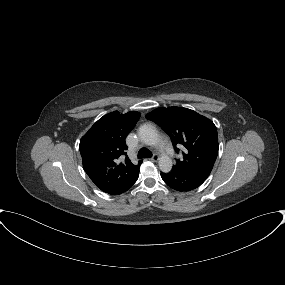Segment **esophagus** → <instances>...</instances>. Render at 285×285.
<instances>
[{"label":"esophagus","instance_id":"1","mask_svg":"<svg viewBox=\"0 0 285 285\" xmlns=\"http://www.w3.org/2000/svg\"><path fill=\"white\" fill-rule=\"evenodd\" d=\"M158 156L157 155H154V156H152L151 158H150V160L151 161H153V162H156V161H158Z\"/></svg>","mask_w":285,"mask_h":285}]
</instances>
